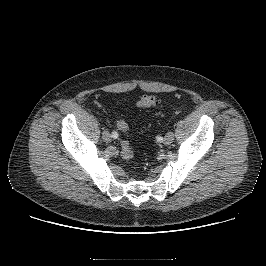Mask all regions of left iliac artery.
Instances as JSON below:
<instances>
[{
  "label": "left iliac artery",
  "mask_w": 266,
  "mask_h": 266,
  "mask_svg": "<svg viewBox=\"0 0 266 266\" xmlns=\"http://www.w3.org/2000/svg\"><path fill=\"white\" fill-rule=\"evenodd\" d=\"M157 142H158L159 144H162V143L164 142V139H163L162 137H158V138H157Z\"/></svg>",
  "instance_id": "left-iliac-artery-1"
}]
</instances>
